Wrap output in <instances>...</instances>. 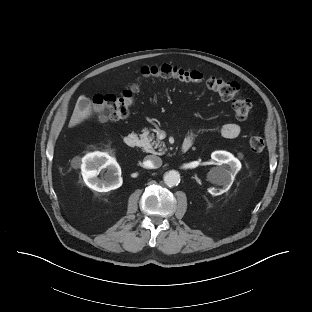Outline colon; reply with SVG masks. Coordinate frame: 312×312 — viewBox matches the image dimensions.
Instances as JSON below:
<instances>
[{
  "instance_id": "1",
  "label": "colon",
  "mask_w": 312,
  "mask_h": 312,
  "mask_svg": "<svg viewBox=\"0 0 312 312\" xmlns=\"http://www.w3.org/2000/svg\"><path fill=\"white\" fill-rule=\"evenodd\" d=\"M141 74L144 77L177 79L183 82H204L209 89L231 102L233 113L237 119H247L251 113L252 103L249 99L239 95L240 88L237 82L217 77L205 78L198 71L185 70L171 65L144 66L141 69ZM136 91L137 86L134 85L119 95L93 96L90 98L91 107L98 118L102 120L125 118L133 105V95ZM249 147L255 153L262 152L265 148L264 139L260 136L251 137Z\"/></svg>"
}]
</instances>
